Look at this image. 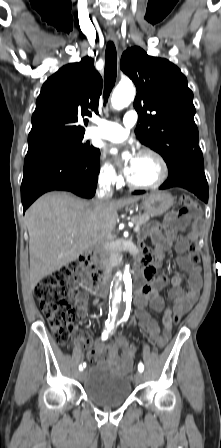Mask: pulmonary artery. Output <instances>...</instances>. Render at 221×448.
Wrapping results in <instances>:
<instances>
[{
  "label": "pulmonary artery",
  "instance_id": "obj_1",
  "mask_svg": "<svg viewBox=\"0 0 221 448\" xmlns=\"http://www.w3.org/2000/svg\"><path fill=\"white\" fill-rule=\"evenodd\" d=\"M136 121V112L134 110H130L123 118L125 127H122L115 122L98 120L97 125L90 129L88 135L92 138H102L109 141H121L128 136L129 129L136 123Z\"/></svg>",
  "mask_w": 221,
  "mask_h": 448
}]
</instances>
